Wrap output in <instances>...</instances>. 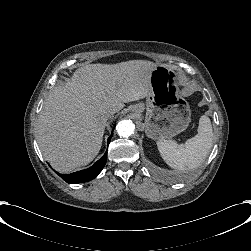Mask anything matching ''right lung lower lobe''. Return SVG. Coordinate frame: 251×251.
<instances>
[{
	"label": "right lung lower lobe",
	"instance_id": "1",
	"mask_svg": "<svg viewBox=\"0 0 251 251\" xmlns=\"http://www.w3.org/2000/svg\"><path fill=\"white\" fill-rule=\"evenodd\" d=\"M111 137L112 135L108 139V144L110 142ZM106 161H107V152L93 166H91L86 170L74 172L71 174H59V173L57 174L61 178H63L67 183L77 184V183L87 182L94 179L102 171Z\"/></svg>",
	"mask_w": 251,
	"mask_h": 251
}]
</instances>
